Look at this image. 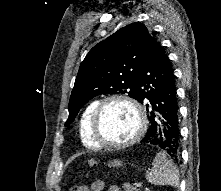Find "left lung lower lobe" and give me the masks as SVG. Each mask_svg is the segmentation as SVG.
<instances>
[{
    "instance_id": "0a47b994",
    "label": "left lung lower lobe",
    "mask_w": 221,
    "mask_h": 191,
    "mask_svg": "<svg viewBox=\"0 0 221 191\" xmlns=\"http://www.w3.org/2000/svg\"><path fill=\"white\" fill-rule=\"evenodd\" d=\"M145 98L149 100L147 107L153 111L148 115L150 125L142 141L177 159L180 126L175 76L168 56L155 39L138 77L137 100L143 103Z\"/></svg>"
}]
</instances>
